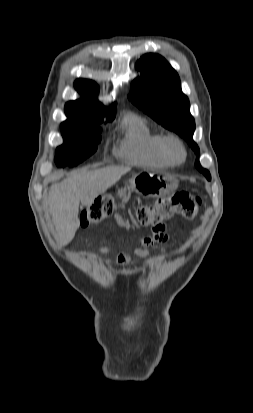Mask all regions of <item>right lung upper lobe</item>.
<instances>
[{
	"label": "right lung upper lobe",
	"instance_id": "1",
	"mask_svg": "<svg viewBox=\"0 0 253 413\" xmlns=\"http://www.w3.org/2000/svg\"><path fill=\"white\" fill-rule=\"evenodd\" d=\"M75 88L82 98L65 105L68 120H103L105 115L108 119L114 117L113 114H109V108L96 100L98 87L95 82L78 79L75 81Z\"/></svg>",
	"mask_w": 253,
	"mask_h": 413
}]
</instances>
